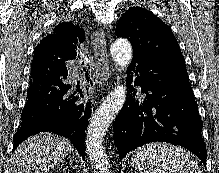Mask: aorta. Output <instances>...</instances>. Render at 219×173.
Returning <instances> with one entry per match:
<instances>
[{
  "label": "aorta",
  "instance_id": "obj_1",
  "mask_svg": "<svg viewBox=\"0 0 219 173\" xmlns=\"http://www.w3.org/2000/svg\"><path fill=\"white\" fill-rule=\"evenodd\" d=\"M113 61L125 69L132 60V46L126 39H118L111 45ZM127 96L125 84H118L106 97L90 120L85 140L86 152L97 173H108L110 161L103 146V138L109 126L123 107Z\"/></svg>",
  "mask_w": 219,
  "mask_h": 173
}]
</instances>
